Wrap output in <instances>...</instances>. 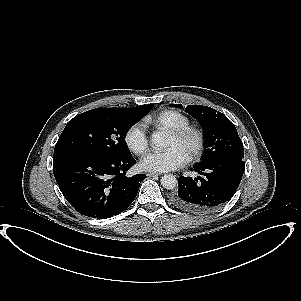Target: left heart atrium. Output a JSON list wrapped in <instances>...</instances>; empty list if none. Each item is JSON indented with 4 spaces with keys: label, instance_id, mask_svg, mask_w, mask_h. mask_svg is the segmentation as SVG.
<instances>
[{
    "label": "left heart atrium",
    "instance_id": "left-heart-atrium-1",
    "mask_svg": "<svg viewBox=\"0 0 301 301\" xmlns=\"http://www.w3.org/2000/svg\"><path fill=\"white\" fill-rule=\"evenodd\" d=\"M184 159L176 150L167 148L148 153L142 161V166L147 171L168 172L182 166Z\"/></svg>",
    "mask_w": 301,
    "mask_h": 301
}]
</instances>
